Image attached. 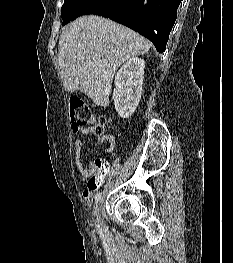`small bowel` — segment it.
Listing matches in <instances>:
<instances>
[{
  "label": "small bowel",
  "instance_id": "1",
  "mask_svg": "<svg viewBox=\"0 0 233 263\" xmlns=\"http://www.w3.org/2000/svg\"><path fill=\"white\" fill-rule=\"evenodd\" d=\"M80 132L84 135H91V134L96 133L97 131L94 127H88V128L81 129ZM97 141L98 143H106V147H105L106 152H111L114 149L115 139H114V136L111 134H100L97 137ZM83 146L84 144L81 139H77L75 141L76 167L82 176V180L86 181L88 178L93 176L94 173L97 171V167H96L97 160L92 161L88 166H84L81 161V152H82ZM95 190L96 189H89L88 187L87 189L84 190L83 196L87 203L92 202Z\"/></svg>",
  "mask_w": 233,
  "mask_h": 263
}]
</instances>
